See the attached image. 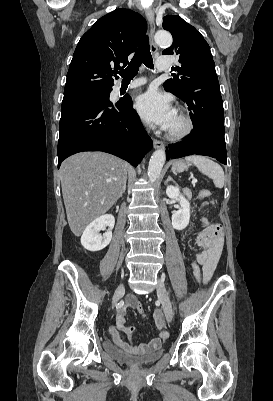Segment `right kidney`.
Masks as SVG:
<instances>
[{"label":"right kidney","instance_id":"1","mask_svg":"<svg viewBox=\"0 0 273 401\" xmlns=\"http://www.w3.org/2000/svg\"><path fill=\"white\" fill-rule=\"evenodd\" d=\"M115 225V219L113 215H102L95 221H92L88 227H86L82 237L81 245L87 251H101L109 245L112 239V229ZM105 227H109L107 233L100 235V231H103Z\"/></svg>","mask_w":273,"mask_h":401}]
</instances>
